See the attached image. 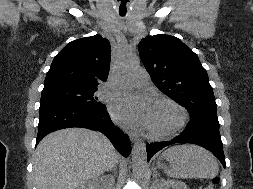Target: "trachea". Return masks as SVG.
<instances>
[{
  "instance_id": "trachea-1",
  "label": "trachea",
  "mask_w": 253,
  "mask_h": 189,
  "mask_svg": "<svg viewBox=\"0 0 253 189\" xmlns=\"http://www.w3.org/2000/svg\"><path fill=\"white\" fill-rule=\"evenodd\" d=\"M125 5H126V3H125ZM121 6H122V3H121ZM121 16H124L125 14H120Z\"/></svg>"
}]
</instances>
